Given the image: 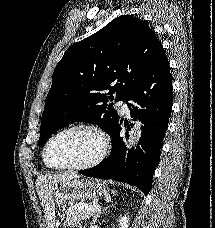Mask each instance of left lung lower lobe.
Here are the masks:
<instances>
[{"mask_svg": "<svg viewBox=\"0 0 215 228\" xmlns=\"http://www.w3.org/2000/svg\"><path fill=\"white\" fill-rule=\"evenodd\" d=\"M172 90L169 62L162 49L148 73L126 99L131 101L127 105L133 120L141 119L144 124L138 145L126 156L125 144L120 135L121 119L111 134L112 151L109 157L99 165L79 173L93 178L125 182L148 194L168 127ZM134 104L144 109L138 110Z\"/></svg>", "mask_w": 215, "mask_h": 228, "instance_id": "1", "label": "left lung lower lobe"}]
</instances>
